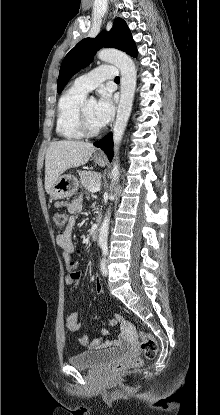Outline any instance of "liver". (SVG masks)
<instances>
[{
	"mask_svg": "<svg viewBox=\"0 0 220 415\" xmlns=\"http://www.w3.org/2000/svg\"><path fill=\"white\" fill-rule=\"evenodd\" d=\"M96 151L91 143L63 140L52 142L45 156V190L49 194L54 183L67 169L86 164Z\"/></svg>",
	"mask_w": 220,
	"mask_h": 415,
	"instance_id": "1",
	"label": "liver"
}]
</instances>
